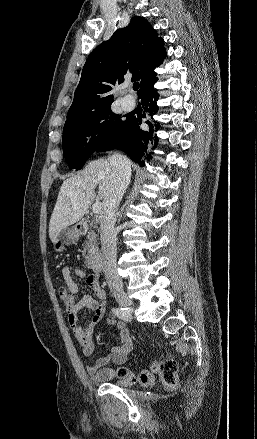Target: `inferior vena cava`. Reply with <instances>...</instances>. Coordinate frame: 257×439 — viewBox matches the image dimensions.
I'll return each mask as SVG.
<instances>
[{
  "instance_id": "602c4592",
  "label": "inferior vena cava",
  "mask_w": 257,
  "mask_h": 439,
  "mask_svg": "<svg viewBox=\"0 0 257 439\" xmlns=\"http://www.w3.org/2000/svg\"><path fill=\"white\" fill-rule=\"evenodd\" d=\"M108 160L113 166L114 174L104 201L100 219L101 259L108 286L111 288H122L123 282L117 272V232L114 226L116 211L130 182L131 163L121 154H114Z\"/></svg>"
}]
</instances>
